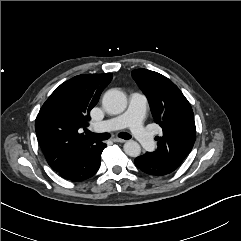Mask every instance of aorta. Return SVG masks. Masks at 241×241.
<instances>
[{
  "label": "aorta",
  "mask_w": 241,
  "mask_h": 241,
  "mask_svg": "<svg viewBox=\"0 0 241 241\" xmlns=\"http://www.w3.org/2000/svg\"><path fill=\"white\" fill-rule=\"evenodd\" d=\"M102 105L109 114H120L127 107V98L125 94L117 89L108 90L102 100ZM124 152L131 157H137L140 155L141 147L134 140H128L123 146Z\"/></svg>",
  "instance_id": "obj_1"
}]
</instances>
